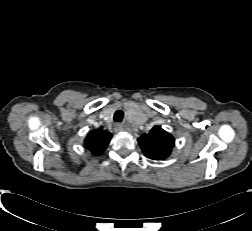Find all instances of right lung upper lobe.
Segmentation results:
<instances>
[{
    "label": "right lung upper lobe",
    "instance_id": "cb5924a9",
    "mask_svg": "<svg viewBox=\"0 0 252 231\" xmlns=\"http://www.w3.org/2000/svg\"><path fill=\"white\" fill-rule=\"evenodd\" d=\"M112 138V134L105 130H92L85 139V146L94 155L104 152Z\"/></svg>",
    "mask_w": 252,
    "mask_h": 231
}]
</instances>
